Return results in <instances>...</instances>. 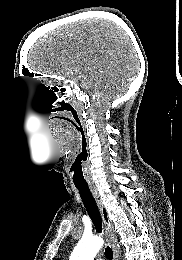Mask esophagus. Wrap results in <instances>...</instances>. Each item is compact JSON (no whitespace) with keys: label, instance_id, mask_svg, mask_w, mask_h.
<instances>
[{"label":"esophagus","instance_id":"esophagus-1","mask_svg":"<svg viewBox=\"0 0 182 260\" xmlns=\"http://www.w3.org/2000/svg\"><path fill=\"white\" fill-rule=\"evenodd\" d=\"M91 192L95 198V201L99 207V210L102 214V217H103V227H104V230H105V234H106V237L108 239V242L109 244L111 245L113 251H114V260H118L119 259V253H118V249H117V236H116V233L113 229V227L107 223L104 219V216H103V204H102V200L100 198V195L98 193V191L94 188H91Z\"/></svg>","mask_w":182,"mask_h":260}]
</instances>
